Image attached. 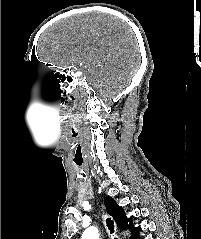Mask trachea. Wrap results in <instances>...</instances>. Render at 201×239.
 Returning a JSON list of instances; mask_svg holds the SVG:
<instances>
[{
    "mask_svg": "<svg viewBox=\"0 0 201 239\" xmlns=\"http://www.w3.org/2000/svg\"><path fill=\"white\" fill-rule=\"evenodd\" d=\"M106 223H107V227H108L109 230H110V233L113 234V233H114V224H113V221L110 220L109 218H107Z\"/></svg>",
    "mask_w": 201,
    "mask_h": 239,
    "instance_id": "1",
    "label": "trachea"
}]
</instances>
